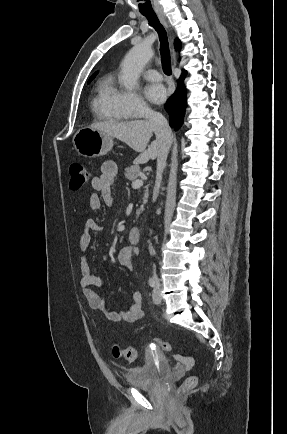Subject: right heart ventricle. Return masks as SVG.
I'll list each match as a JSON object with an SVG mask.
<instances>
[{"mask_svg": "<svg viewBox=\"0 0 287 434\" xmlns=\"http://www.w3.org/2000/svg\"><path fill=\"white\" fill-rule=\"evenodd\" d=\"M115 78L112 74L104 75L95 86L92 100V108L96 116L106 121H125L128 116L124 114L117 105V94Z\"/></svg>", "mask_w": 287, "mask_h": 434, "instance_id": "obj_1", "label": "right heart ventricle"}]
</instances>
